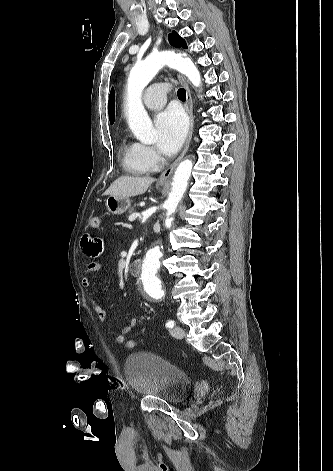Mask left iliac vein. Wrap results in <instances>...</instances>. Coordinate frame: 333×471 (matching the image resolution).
<instances>
[{"instance_id":"obj_1","label":"left iliac vein","mask_w":333,"mask_h":471,"mask_svg":"<svg viewBox=\"0 0 333 471\" xmlns=\"http://www.w3.org/2000/svg\"><path fill=\"white\" fill-rule=\"evenodd\" d=\"M171 335L177 339H182L185 336V331L179 326H175L171 330Z\"/></svg>"}]
</instances>
